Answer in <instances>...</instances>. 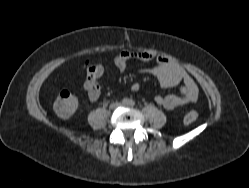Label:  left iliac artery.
I'll use <instances>...</instances> for the list:
<instances>
[{"mask_svg": "<svg viewBox=\"0 0 249 188\" xmlns=\"http://www.w3.org/2000/svg\"><path fill=\"white\" fill-rule=\"evenodd\" d=\"M129 105H130V106H134V105H135V102H134L133 100H130V101H129Z\"/></svg>", "mask_w": 249, "mask_h": 188, "instance_id": "left-iliac-artery-1", "label": "left iliac artery"}]
</instances>
